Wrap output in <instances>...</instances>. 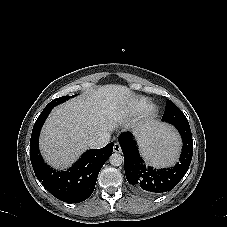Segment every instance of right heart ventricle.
Returning a JSON list of instances; mask_svg holds the SVG:
<instances>
[{"mask_svg":"<svg viewBox=\"0 0 227 227\" xmlns=\"http://www.w3.org/2000/svg\"><path fill=\"white\" fill-rule=\"evenodd\" d=\"M135 106H136V108H137L138 110H142V109L146 108V106H147V101H146V99H139V100L136 102Z\"/></svg>","mask_w":227,"mask_h":227,"instance_id":"1","label":"right heart ventricle"}]
</instances>
